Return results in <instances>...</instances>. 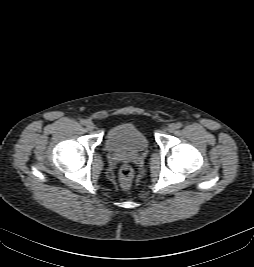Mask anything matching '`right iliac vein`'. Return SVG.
Here are the masks:
<instances>
[{
    "mask_svg": "<svg viewBox=\"0 0 254 267\" xmlns=\"http://www.w3.org/2000/svg\"><path fill=\"white\" fill-rule=\"evenodd\" d=\"M85 126L88 130H93L95 128L94 124L91 121H86Z\"/></svg>",
    "mask_w": 254,
    "mask_h": 267,
    "instance_id": "obj_1",
    "label": "right iliac vein"
}]
</instances>
